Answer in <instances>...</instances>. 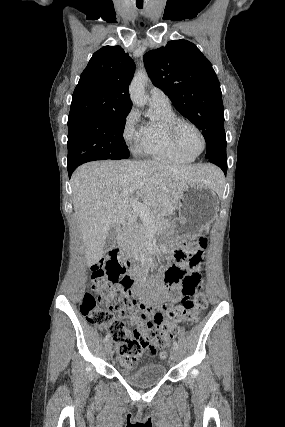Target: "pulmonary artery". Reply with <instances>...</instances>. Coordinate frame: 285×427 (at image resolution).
I'll list each match as a JSON object with an SVG mask.
<instances>
[{
  "instance_id": "obj_1",
  "label": "pulmonary artery",
  "mask_w": 285,
  "mask_h": 427,
  "mask_svg": "<svg viewBox=\"0 0 285 427\" xmlns=\"http://www.w3.org/2000/svg\"><path fill=\"white\" fill-rule=\"evenodd\" d=\"M150 102L160 106L170 105L169 97L159 88H151L149 92Z\"/></svg>"
}]
</instances>
